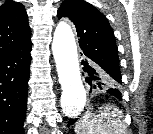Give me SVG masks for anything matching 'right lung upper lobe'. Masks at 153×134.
<instances>
[{
    "label": "right lung upper lobe",
    "mask_w": 153,
    "mask_h": 134,
    "mask_svg": "<svg viewBox=\"0 0 153 134\" xmlns=\"http://www.w3.org/2000/svg\"><path fill=\"white\" fill-rule=\"evenodd\" d=\"M31 30L24 6L7 1L0 6V57L31 44Z\"/></svg>",
    "instance_id": "right-lung-upper-lobe-1"
}]
</instances>
